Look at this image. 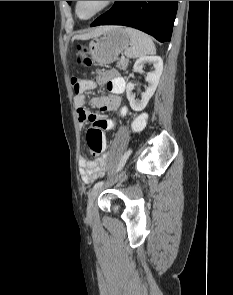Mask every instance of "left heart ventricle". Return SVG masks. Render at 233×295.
I'll use <instances>...</instances> for the list:
<instances>
[{
    "instance_id": "obj_1",
    "label": "left heart ventricle",
    "mask_w": 233,
    "mask_h": 295,
    "mask_svg": "<svg viewBox=\"0 0 233 295\" xmlns=\"http://www.w3.org/2000/svg\"><path fill=\"white\" fill-rule=\"evenodd\" d=\"M104 1H81L79 5V14L81 17H88L95 12Z\"/></svg>"
}]
</instances>
